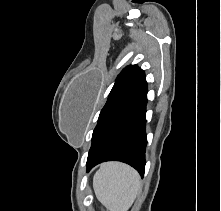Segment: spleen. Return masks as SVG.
I'll list each match as a JSON object with an SVG mask.
<instances>
[{
	"label": "spleen",
	"mask_w": 221,
	"mask_h": 211,
	"mask_svg": "<svg viewBox=\"0 0 221 211\" xmlns=\"http://www.w3.org/2000/svg\"><path fill=\"white\" fill-rule=\"evenodd\" d=\"M98 200L110 211H127L141 189L138 173L128 165L102 164L93 178Z\"/></svg>",
	"instance_id": "spleen-1"
}]
</instances>
